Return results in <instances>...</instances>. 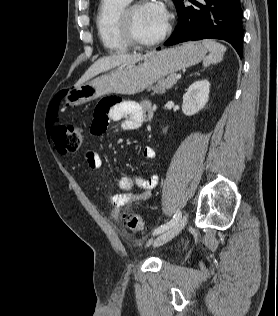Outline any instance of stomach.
Here are the masks:
<instances>
[{
    "label": "stomach",
    "instance_id": "stomach-1",
    "mask_svg": "<svg viewBox=\"0 0 278 316\" xmlns=\"http://www.w3.org/2000/svg\"><path fill=\"white\" fill-rule=\"evenodd\" d=\"M206 53L207 49L199 42L154 52L68 91L65 103L75 107L111 93L142 92L165 76L199 63Z\"/></svg>",
    "mask_w": 278,
    "mask_h": 316
}]
</instances>
